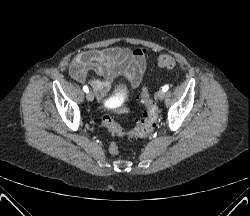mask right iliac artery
Masks as SVG:
<instances>
[{"instance_id":"82829eb1","label":"right iliac artery","mask_w":250,"mask_h":216,"mask_svg":"<svg viewBox=\"0 0 250 216\" xmlns=\"http://www.w3.org/2000/svg\"><path fill=\"white\" fill-rule=\"evenodd\" d=\"M83 90H84V92H86V93L89 91V89H88L87 86H83Z\"/></svg>"}]
</instances>
